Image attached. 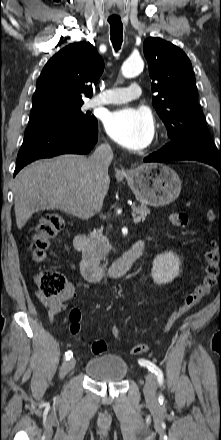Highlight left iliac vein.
I'll list each match as a JSON object with an SVG mask.
<instances>
[{
	"label": "left iliac vein",
	"mask_w": 221,
	"mask_h": 440,
	"mask_svg": "<svg viewBox=\"0 0 221 440\" xmlns=\"http://www.w3.org/2000/svg\"><path fill=\"white\" fill-rule=\"evenodd\" d=\"M157 381L156 377L152 373H148L144 385V395L147 399H153L156 394Z\"/></svg>",
	"instance_id": "4c4485c4"
}]
</instances>
